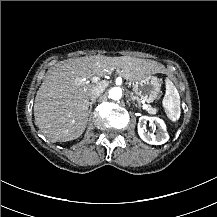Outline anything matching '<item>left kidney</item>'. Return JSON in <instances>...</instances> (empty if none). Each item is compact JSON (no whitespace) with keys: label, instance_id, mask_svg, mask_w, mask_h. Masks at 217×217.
<instances>
[{"label":"left kidney","instance_id":"5707ae66","mask_svg":"<svg viewBox=\"0 0 217 217\" xmlns=\"http://www.w3.org/2000/svg\"><path fill=\"white\" fill-rule=\"evenodd\" d=\"M153 121H156L159 124V129L157 135L150 134L145 129V122L147 119L140 117L137 124V132L139 137L147 144L150 145H160L165 143L168 140V134L166 133L165 124L162 120L158 118H152Z\"/></svg>","mask_w":217,"mask_h":217}]
</instances>
